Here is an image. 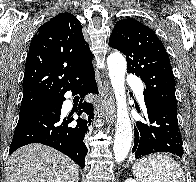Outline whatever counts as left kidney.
Listing matches in <instances>:
<instances>
[{
    "mask_svg": "<svg viewBox=\"0 0 196 182\" xmlns=\"http://www.w3.org/2000/svg\"><path fill=\"white\" fill-rule=\"evenodd\" d=\"M125 182H136V180H134V179H132V178H128V179H126Z\"/></svg>",
    "mask_w": 196,
    "mask_h": 182,
    "instance_id": "left-kidney-1",
    "label": "left kidney"
}]
</instances>
